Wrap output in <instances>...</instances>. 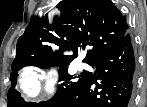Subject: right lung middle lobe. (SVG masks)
Listing matches in <instances>:
<instances>
[{"mask_svg": "<svg viewBox=\"0 0 147 107\" xmlns=\"http://www.w3.org/2000/svg\"><path fill=\"white\" fill-rule=\"evenodd\" d=\"M33 65L40 68H45L42 66H39L38 64H35L33 62H28L24 65L12 67V73L10 75L12 86H15L18 73L17 71L20 70L24 66ZM60 72V79L59 81H62L61 84L58 85L57 93L55 96L48 100V101H42L40 103H29L26 104L23 100V98L20 96V93L14 89L10 88L8 92V106L11 107H54L58 102H60L64 97H66L68 94L73 92L76 88H78L82 83L86 81V79L89 76V72L84 71L79 75L78 77L69 75L67 73V66L61 67Z\"/></svg>", "mask_w": 147, "mask_h": 107, "instance_id": "right-lung-middle-lobe-1", "label": "right lung middle lobe"}]
</instances>
